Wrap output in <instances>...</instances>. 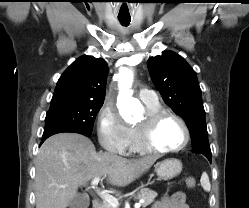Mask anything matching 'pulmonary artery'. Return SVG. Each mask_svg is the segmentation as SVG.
<instances>
[{
    "mask_svg": "<svg viewBox=\"0 0 249 208\" xmlns=\"http://www.w3.org/2000/svg\"><path fill=\"white\" fill-rule=\"evenodd\" d=\"M138 97L146 106L158 105V98L152 90L141 89L138 93Z\"/></svg>",
    "mask_w": 249,
    "mask_h": 208,
    "instance_id": "1",
    "label": "pulmonary artery"
}]
</instances>
